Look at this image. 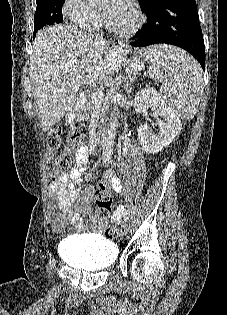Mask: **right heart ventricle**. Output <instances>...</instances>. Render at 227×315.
<instances>
[{
	"label": "right heart ventricle",
	"instance_id": "1",
	"mask_svg": "<svg viewBox=\"0 0 227 315\" xmlns=\"http://www.w3.org/2000/svg\"><path fill=\"white\" fill-rule=\"evenodd\" d=\"M99 26H100V23H99V24H97V26H96L95 28H97V27H99ZM95 28H94V29H95Z\"/></svg>",
	"mask_w": 227,
	"mask_h": 315
}]
</instances>
